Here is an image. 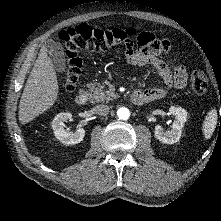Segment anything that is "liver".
I'll use <instances>...</instances> for the list:
<instances>
[{"label":"liver","instance_id":"1","mask_svg":"<svg viewBox=\"0 0 221 221\" xmlns=\"http://www.w3.org/2000/svg\"><path fill=\"white\" fill-rule=\"evenodd\" d=\"M57 75L47 48L39 51L33 69L27 79L19 104V121L26 124L50 109L58 97Z\"/></svg>","mask_w":221,"mask_h":221}]
</instances>
